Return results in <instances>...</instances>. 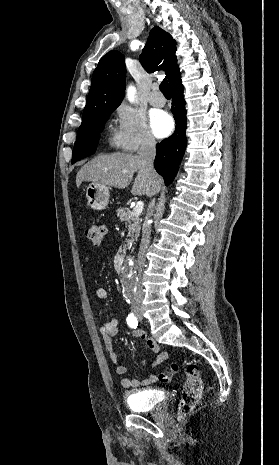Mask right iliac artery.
<instances>
[{"label":"right iliac artery","mask_w":279,"mask_h":465,"mask_svg":"<svg viewBox=\"0 0 279 465\" xmlns=\"http://www.w3.org/2000/svg\"><path fill=\"white\" fill-rule=\"evenodd\" d=\"M126 321L131 328H136L138 325V320L132 313L128 315Z\"/></svg>","instance_id":"right-iliac-artery-1"}]
</instances>
